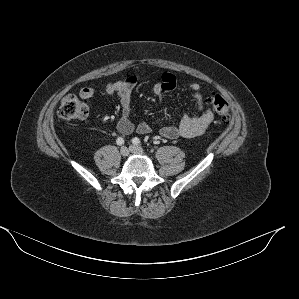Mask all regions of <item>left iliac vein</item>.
Wrapping results in <instances>:
<instances>
[{"mask_svg":"<svg viewBox=\"0 0 299 299\" xmlns=\"http://www.w3.org/2000/svg\"><path fill=\"white\" fill-rule=\"evenodd\" d=\"M130 152L135 154H142L144 152L143 148L140 146L131 145L129 147Z\"/></svg>","mask_w":299,"mask_h":299,"instance_id":"left-iliac-vein-1","label":"left iliac vein"}]
</instances>
